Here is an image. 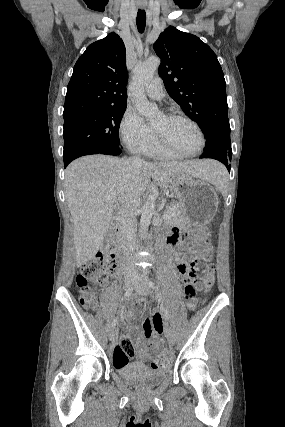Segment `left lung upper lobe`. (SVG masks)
<instances>
[{"instance_id":"5c2ea615","label":"left lung upper lobe","mask_w":285,"mask_h":427,"mask_svg":"<svg viewBox=\"0 0 285 427\" xmlns=\"http://www.w3.org/2000/svg\"><path fill=\"white\" fill-rule=\"evenodd\" d=\"M161 58L158 73L170 97L204 132L229 126L226 83L212 49L197 36L170 26L153 45Z\"/></svg>"}]
</instances>
